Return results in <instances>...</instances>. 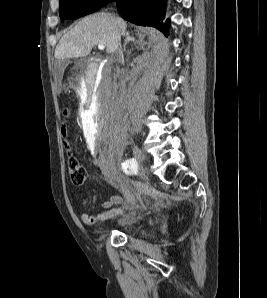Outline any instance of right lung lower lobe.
Masks as SVG:
<instances>
[{
  "instance_id": "98d812e1",
  "label": "right lung lower lobe",
  "mask_w": 267,
  "mask_h": 298,
  "mask_svg": "<svg viewBox=\"0 0 267 298\" xmlns=\"http://www.w3.org/2000/svg\"><path fill=\"white\" fill-rule=\"evenodd\" d=\"M115 1L118 12L125 19L142 26H153L168 36L169 19H164L166 0H107L102 7Z\"/></svg>"
}]
</instances>
